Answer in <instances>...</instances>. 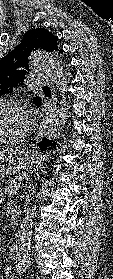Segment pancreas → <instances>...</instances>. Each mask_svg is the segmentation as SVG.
<instances>
[{
	"label": "pancreas",
	"mask_w": 113,
	"mask_h": 279,
	"mask_svg": "<svg viewBox=\"0 0 113 279\" xmlns=\"http://www.w3.org/2000/svg\"><path fill=\"white\" fill-rule=\"evenodd\" d=\"M28 177V173L22 172L14 176L13 178H10L7 182V185L4 188L5 195L9 196L10 194L15 193L17 190H19L22 182Z\"/></svg>",
	"instance_id": "1"
}]
</instances>
